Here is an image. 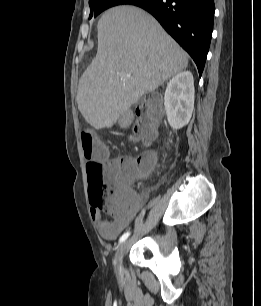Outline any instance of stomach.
<instances>
[{
    "instance_id": "1",
    "label": "stomach",
    "mask_w": 261,
    "mask_h": 306,
    "mask_svg": "<svg viewBox=\"0 0 261 306\" xmlns=\"http://www.w3.org/2000/svg\"><path fill=\"white\" fill-rule=\"evenodd\" d=\"M130 121H131L130 115L126 114L121 118L120 123L121 125L126 126L130 123Z\"/></svg>"
}]
</instances>
